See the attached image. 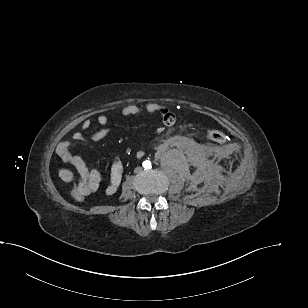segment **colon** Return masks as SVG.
I'll return each mask as SVG.
<instances>
[{
  "label": "colon",
  "instance_id": "obj_1",
  "mask_svg": "<svg viewBox=\"0 0 308 308\" xmlns=\"http://www.w3.org/2000/svg\"><path fill=\"white\" fill-rule=\"evenodd\" d=\"M207 136L209 139L217 143H224L227 140L226 135L218 129H209L207 131ZM71 194L77 201L81 202L89 193L78 185H73L71 187Z\"/></svg>",
  "mask_w": 308,
  "mask_h": 308
}]
</instances>
